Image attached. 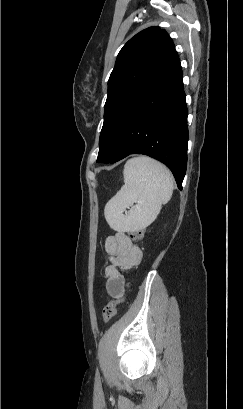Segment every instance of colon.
Instances as JSON below:
<instances>
[{
  "mask_svg": "<svg viewBox=\"0 0 243 409\" xmlns=\"http://www.w3.org/2000/svg\"><path fill=\"white\" fill-rule=\"evenodd\" d=\"M131 237L134 240H142L144 238L143 230H134L131 232ZM124 302V298H116L110 301L102 311L103 320L105 323H109L115 316L118 305Z\"/></svg>",
  "mask_w": 243,
  "mask_h": 409,
  "instance_id": "obj_1",
  "label": "colon"
}]
</instances>
